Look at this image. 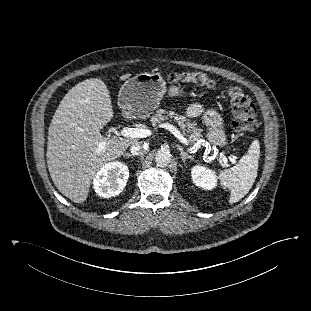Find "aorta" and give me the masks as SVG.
<instances>
[{
    "instance_id": "1",
    "label": "aorta",
    "mask_w": 311,
    "mask_h": 311,
    "mask_svg": "<svg viewBox=\"0 0 311 311\" xmlns=\"http://www.w3.org/2000/svg\"><path fill=\"white\" fill-rule=\"evenodd\" d=\"M171 160V154L168 149L161 148L155 155V161L159 166H166Z\"/></svg>"
}]
</instances>
